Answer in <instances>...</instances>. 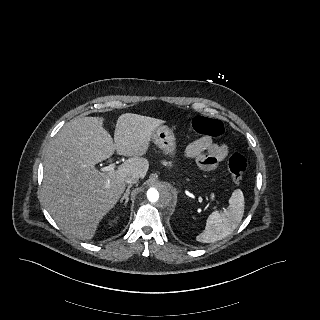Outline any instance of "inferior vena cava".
I'll return each instance as SVG.
<instances>
[{
  "label": "inferior vena cava",
  "mask_w": 320,
  "mask_h": 320,
  "mask_svg": "<svg viewBox=\"0 0 320 320\" xmlns=\"http://www.w3.org/2000/svg\"><path fill=\"white\" fill-rule=\"evenodd\" d=\"M138 180H139V176L137 174H132L126 178L125 183L131 185V184L137 183Z\"/></svg>",
  "instance_id": "602c4592"
}]
</instances>
